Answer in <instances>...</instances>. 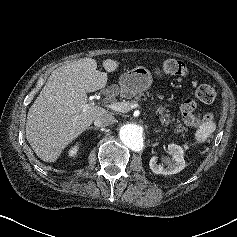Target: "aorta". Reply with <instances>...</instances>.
Returning a JSON list of instances; mask_svg holds the SVG:
<instances>
[{
	"instance_id": "obj_1",
	"label": "aorta",
	"mask_w": 237,
	"mask_h": 237,
	"mask_svg": "<svg viewBox=\"0 0 237 237\" xmlns=\"http://www.w3.org/2000/svg\"><path fill=\"white\" fill-rule=\"evenodd\" d=\"M119 138L134 151H139L143 147L142 129L136 124L123 125L119 131Z\"/></svg>"
}]
</instances>
